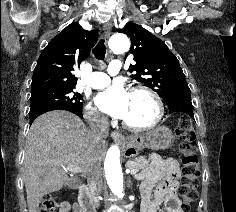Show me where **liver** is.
I'll return each mask as SVG.
<instances>
[{"label": "liver", "mask_w": 236, "mask_h": 212, "mask_svg": "<svg viewBox=\"0 0 236 212\" xmlns=\"http://www.w3.org/2000/svg\"><path fill=\"white\" fill-rule=\"evenodd\" d=\"M106 141L93 142L91 131L75 114L52 111L31 125L23 162V180L29 212H37L43 197L75 183L63 166L75 165L86 173L91 163L101 165Z\"/></svg>", "instance_id": "obj_1"}]
</instances>
